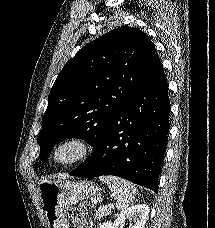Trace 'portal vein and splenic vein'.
Returning <instances> with one entry per match:
<instances>
[{"label": "portal vein and splenic vein", "mask_w": 215, "mask_h": 228, "mask_svg": "<svg viewBox=\"0 0 215 228\" xmlns=\"http://www.w3.org/2000/svg\"><path fill=\"white\" fill-rule=\"evenodd\" d=\"M108 208H110V210H113L114 208L113 204H108Z\"/></svg>", "instance_id": "obj_1"}]
</instances>
